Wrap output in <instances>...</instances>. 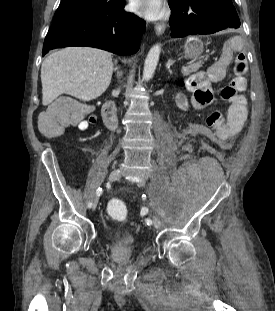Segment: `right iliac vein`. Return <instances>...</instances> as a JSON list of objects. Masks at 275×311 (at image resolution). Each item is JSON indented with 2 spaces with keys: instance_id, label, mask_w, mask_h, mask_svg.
<instances>
[{
  "instance_id": "obj_1",
  "label": "right iliac vein",
  "mask_w": 275,
  "mask_h": 311,
  "mask_svg": "<svg viewBox=\"0 0 275 311\" xmlns=\"http://www.w3.org/2000/svg\"><path fill=\"white\" fill-rule=\"evenodd\" d=\"M120 176H121L120 169L116 168L110 173L109 181L111 182L116 181L120 178ZM97 203H98V199H95L92 205V209H95L97 207Z\"/></svg>"
}]
</instances>
